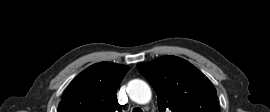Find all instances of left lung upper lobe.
Masks as SVG:
<instances>
[{
  "label": "left lung upper lobe",
  "mask_w": 270,
  "mask_h": 112,
  "mask_svg": "<svg viewBox=\"0 0 270 112\" xmlns=\"http://www.w3.org/2000/svg\"><path fill=\"white\" fill-rule=\"evenodd\" d=\"M137 68L156 91L160 112H220L215 87L188 61L163 56Z\"/></svg>",
  "instance_id": "1"
}]
</instances>
